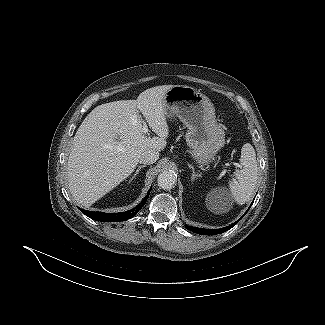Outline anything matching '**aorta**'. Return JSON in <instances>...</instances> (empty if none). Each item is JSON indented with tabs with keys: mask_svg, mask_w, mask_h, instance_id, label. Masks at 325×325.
I'll list each match as a JSON object with an SVG mask.
<instances>
[{
	"mask_svg": "<svg viewBox=\"0 0 325 325\" xmlns=\"http://www.w3.org/2000/svg\"><path fill=\"white\" fill-rule=\"evenodd\" d=\"M177 181V177L173 171H163L158 175V186L164 190L172 189Z\"/></svg>",
	"mask_w": 325,
	"mask_h": 325,
	"instance_id": "aorta-1",
	"label": "aorta"
}]
</instances>
